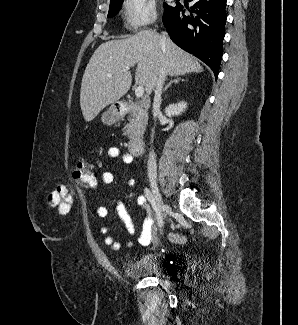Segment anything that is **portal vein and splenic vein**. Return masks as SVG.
I'll return each instance as SVG.
<instances>
[{
	"instance_id": "obj_1",
	"label": "portal vein and splenic vein",
	"mask_w": 298,
	"mask_h": 325,
	"mask_svg": "<svg viewBox=\"0 0 298 325\" xmlns=\"http://www.w3.org/2000/svg\"><path fill=\"white\" fill-rule=\"evenodd\" d=\"M125 70H129V68H123V72H125ZM107 76H113V74H107ZM144 92H145L144 86H137V88H135V94L137 98H141Z\"/></svg>"
}]
</instances>
